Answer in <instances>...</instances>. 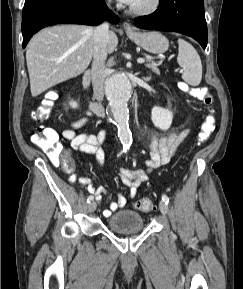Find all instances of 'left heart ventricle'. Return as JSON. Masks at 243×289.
I'll list each match as a JSON object with an SVG mask.
<instances>
[{
    "mask_svg": "<svg viewBox=\"0 0 243 289\" xmlns=\"http://www.w3.org/2000/svg\"><path fill=\"white\" fill-rule=\"evenodd\" d=\"M149 0H135V2L132 4V6L140 7L145 5Z\"/></svg>",
    "mask_w": 243,
    "mask_h": 289,
    "instance_id": "left-heart-ventricle-1",
    "label": "left heart ventricle"
}]
</instances>
